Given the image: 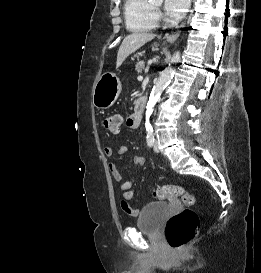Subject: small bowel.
I'll return each mask as SVG.
<instances>
[{
    "instance_id": "1",
    "label": "small bowel",
    "mask_w": 261,
    "mask_h": 273,
    "mask_svg": "<svg viewBox=\"0 0 261 273\" xmlns=\"http://www.w3.org/2000/svg\"><path fill=\"white\" fill-rule=\"evenodd\" d=\"M126 126L128 128H136L133 126V114L127 116ZM126 151L127 147L125 145L119 146L116 151L112 146H106L104 148V153L107 157H112L114 154L123 155L124 153H126ZM132 161L135 166H143L145 163V158L141 155H136L133 157ZM109 169L113 179L118 183V190L122 193V200L120 203L122 210L131 216H137L139 211L135 208H132L129 203L134 194V189L137 184L136 180L123 182L122 175L116 163L114 162H111L109 164Z\"/></svg>"
}]
</instances>
